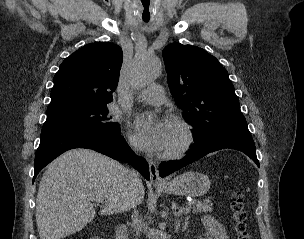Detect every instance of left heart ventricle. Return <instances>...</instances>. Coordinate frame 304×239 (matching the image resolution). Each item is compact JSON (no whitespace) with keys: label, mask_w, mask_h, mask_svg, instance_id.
Returning a JSON list of instances; mask_svg holds the SVG:
<instances>
[{"label":"left heart ventricle","mask_w":304,"mask_h":239,"mask_svg":"<svg viewBox=\"0 0 304 239\" xmlns=\"http://www.w3.org/2000/svg\"><path fill=\"white\" fill-rule=\"evenodd\" d=\"M181 139H182V134L179 128L175 124H173L164 151L178 145L181 142Z\"/></svg>","instance_id":"b2bd125f"}]
</instances>
